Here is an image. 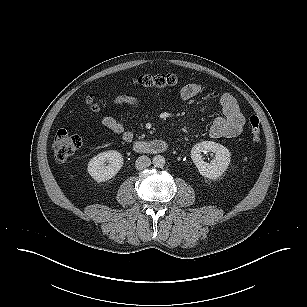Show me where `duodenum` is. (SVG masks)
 I'll use <instances>...</instances> for the list:
<instances>
[{"mask_svg": "<svg viewBox=\"0 0 307 307\" xmlns=\"http://www.w3.org/2000/svg\"><path fill=\"white\" fill-rule=\"evenodd\" d=\"M134 148L137 151L150 154H161L166 151V145L160 139L136 141L134 144Z\"/></svg>", "mask_w": 307, "mask_h": 307, "instance_id": "1", "label": "duodenum"}]
</instances>
